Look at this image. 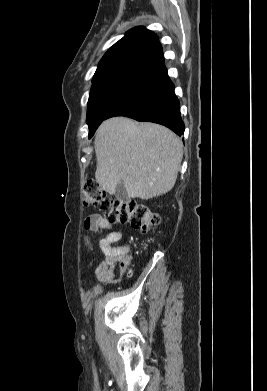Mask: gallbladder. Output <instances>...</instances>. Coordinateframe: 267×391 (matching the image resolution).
<instances>
[{
  "mask_svg": "<svg viewBox=\"0 0 267 391\" xmlns=\"http://www.w3.org/2000/svg\"><path fill=\"white\" fill-rule=\"evenodd\" d=\"M115 197L120 202H126L129 200V197H128V194L126 192V189L124 187L123 182H120L117 184L116 191H115Z\"/></svg>",
  "mask_w": 267,
  "mask_h": 391,
  "instance_id": "1",
  "label": "gallbladder"
}]
</instances>
